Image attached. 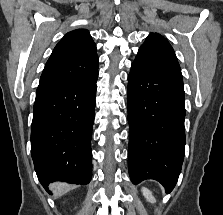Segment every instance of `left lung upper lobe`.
<instances>
[{"label":"left lung upper lobe","mask_w":223,"mask_h":215,"mask_svg":"<svg viewBox=\"0 0 223 215\" xmlns=\"http://www.w3.org/2000/svg\"><path fill=\"white\" fill-rule=\"evenodd\" d=\"M134 62L182 78L174 50L160 34L151 33L146 38L139 48Z\"/></svg>","instance_id":"5c2ea615"}]
</instances>
